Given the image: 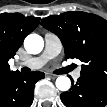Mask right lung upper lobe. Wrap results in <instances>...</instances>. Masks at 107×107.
Masks as SVG:
<instances>
[{"label":"right lung upper lobe","mask_w":107,"mask_h":107,"mask_svg":"<svg viewBox=\"0 0 107 107\" xmlns=\"http://www.w3.org/2000/svg\"><path fill=\"white\" fill-rule=\"evenodd\" d=\"M40 18L19 13L0 14V75L11 72L8 60L16 54L24 38L39 24Z\"/></svg>","instance_id":"cb5924a9"}]
</instances>
